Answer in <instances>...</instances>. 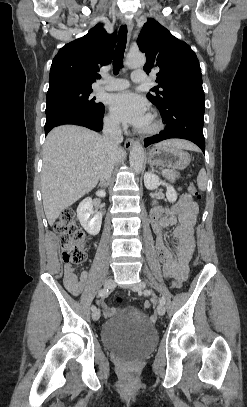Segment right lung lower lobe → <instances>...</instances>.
Instances as JSON below:
<instances>
[{
	"label": "right lung lower lobe",
	"mask_w": 247,
	"mask_h": 407,
	"mask_svg": "<svg viewBox=\"0 0 247 407\" xmlns=\"http://www.w3.org/2000/svg\"><path fill=\"white\" fill-rule=\"evenodd\" d=\"M103 113L104 106L94 113L77 109H65L46 114L45 135L52 128L63 124H75L94 131H101L103 128Z\"/></svg>",
	"instance_id": "1"
}]
</instances>
